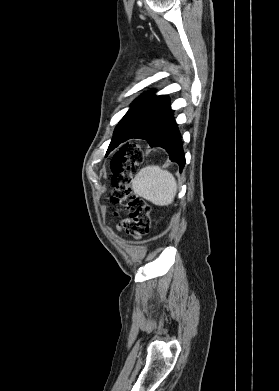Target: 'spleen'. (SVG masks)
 <instances>
[{
	"label": "spleen",
	"mask_w": 279,
	"mask_h": 391,
	"mask_svg": "<svg viewBox=\"0 0 279 391\" xmlns=\"http://www.w3.org/2000/svg\"><path fill=\"white\" fill-rule=\"evenodd\" d=\"M134 192L158 206H167L174 201L177 183L174 176L159 166L142 168L132 180Z\"/></svg>",
	"instance_id": "spleen-1"
}]
</instances>
